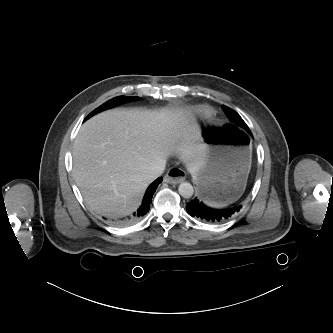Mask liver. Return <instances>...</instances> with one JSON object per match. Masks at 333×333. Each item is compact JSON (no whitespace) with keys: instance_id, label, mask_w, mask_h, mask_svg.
Here are the masks:
<instances>
[{"instance_id":"1","label":"liver","mask_w":333,"mask_h":333,"mask_svg":"<svg viewBox=\"0 0 333 333\" xmlns=\"http://www.w3.org/2000/svg\"><path fill=\"white\" fill-rule=\"evenodd\" d=\"M187 130L168 110L117 109L85 122L73 144V176L88 206L106 217L134 212L150 184L146 171L174 150L194 177L204 145L180 143Z\"/></svg>"}]
</instances>
